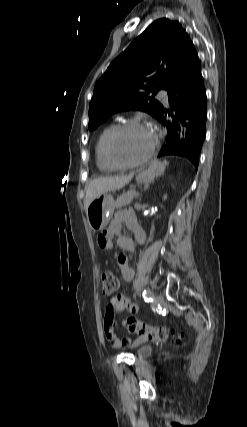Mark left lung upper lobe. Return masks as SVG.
Wrapping results in <instances>:
<instances>
[{"instance_id":"obj_1","label":"left lung upper lobe","mask_w":247,"mask_h":427,"mask_svg":"<svg viewBox=\"0 0 247 427\" xmlns=\"http://www.w3.org/2000/svg\"><path fill=\"white\" fill-rule=\"evenodd\" d=\"M198 61L194 45L179 22L166 18L154 21L96 83L89 108V130L113 113L130 109L146 111L158 119L163 106L154 94L160 89L168 91Z\"/></svg>"}]
</instances>
